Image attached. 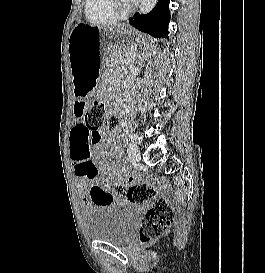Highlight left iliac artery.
<instances>
[{
  "mask_svg": "<svg viewBox=\"0 0 265 273\" xmlns=\"http://www.w3.org/2000/svg\"><path fill=\"white\" fill-rule=\"evenodd\" d=\"M129 139L135 143H137L139 140L136 134H129Z\"/></svg>",
  "mask_w": 265,
  "mask_h": 273,
  "instance_id": "44dca946",
  "label": "left iliac artery"
}]
</instances>
